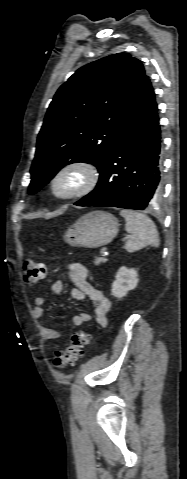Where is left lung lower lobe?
Listing matches in <instances>:
<instances>
[{
	"mask_svg": "<svg viewBox=\"0 0 187 479\" xmlns=\"http://www.w3.org/2000/svg\"><path fill=\"white\" fill-rule=\"evenodd\" d=\"M96 188L77 206L143 210L161 193V130L154 90L146 75Z\"/></svg>",
	"mask_w": 187,
	"mask_h": 479,
	"instance_id": "1",
	"label": "left lung lower lobe"
}]
</instances>
